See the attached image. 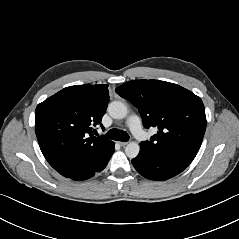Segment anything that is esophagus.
<instances>
[{"label":"esophagus","mask_w":239,"mask_h":239,"mask_svg":"<svg viewBox=\"0 0 239 239\" xmlns=\"http://www.w3.org/2000/svg\"><path fill=\"white\" fill-rule=\"evenodd\" d=\"M119 144H120L121 146H126V145L128 144V142H119Z\"/></svg>","instance_id":"1"}]
</instances>
